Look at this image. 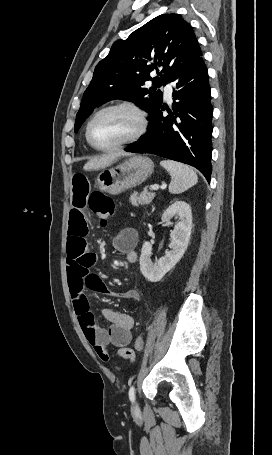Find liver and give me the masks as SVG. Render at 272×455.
<instances>
[{"label": "liver", "mask_w": 272, "mask_h": 455, "mask_svg": "<svg viewBox=\"0 0 272 455\" xmlns=\"http://www.w3.org/2000/svg\"><path fill=\"white\" fill-rule=\"evenodd\" d=\"M119 154H108L89 160L83 167L85 171L104 169L110 166Z\"/></svg>", "instance_id": "liver-1"}]
</instances>
